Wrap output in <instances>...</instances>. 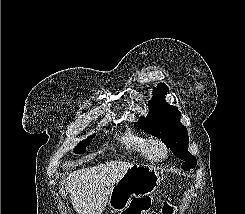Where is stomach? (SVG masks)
I'll return each mask as SVG.
<instances>
[{
	"mask_svg": "<svg viewBox=\"0 0 245 214\" xmlns=\"http://www.w3.org/2000/svg\"><path fill=\"white\" fill-rule=\"evenodd\" d=\"M160 184L159 172L148 165H135L111 189L108 205L113 211H123L132 196L153 194Z\"/></svg>",
	"mask_w": 245,
	"mask_h": 214,
	"instance_id": "1",
	"label": "stomach"
}]
</instances>
